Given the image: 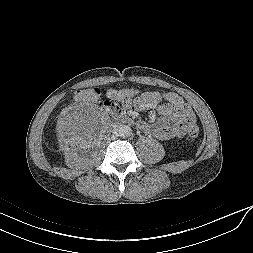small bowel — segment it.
I'll return each mask as SVG.
<instances>
[{
	"instance_id": "small-bowel-1",
	"label": "small bowel",
	"mask_w": 253,
	"mask_h": 253,
	"mask_svg": "<svg viewBox=\"0 0 253 253\" xmlns=\"http://www.w3.org/2000/svg\"><path fill=\"white\" fill-rule=\"evenodd\" d=\"M122 103L124 107L131 105V100L120 101L105 99V108L119 111ZM133 106L138 110L154 109L162 115V119L148 124L140 122L139 128L161 141H168L183 137L188 127L195 123V114L183 99L173 92L149 91L140 94L133 101Z\"/></svg>"
}]
</instances>
